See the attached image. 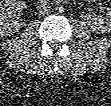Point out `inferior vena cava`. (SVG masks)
<instances>
[{
  "instance_id": "602c4592",
  "label": "inferior vena cava",
  "mask_w": 111,
  "mask_h": 106,
  "mask_svg": "<svg viewBox=\"0 0 111 106\" xmlns=\"http://www.w3.org/2000/svg\"><path fill=\"white\" fill-rule=\"evenodd\" d=\"M50 11H51V7L46 3L41 4L38 8L39 14H42V15H45L49 13Z\"/></svg>"
}]
</instances>
